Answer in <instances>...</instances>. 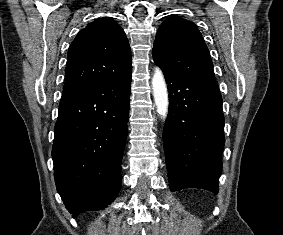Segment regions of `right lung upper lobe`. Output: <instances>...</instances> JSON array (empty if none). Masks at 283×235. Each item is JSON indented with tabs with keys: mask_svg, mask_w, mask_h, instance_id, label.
<instances>
[{
	"mask_svg": "<svg viewBox=\"0 0 283 235\" xmlns=\"http://www.w3.org/2000/svg\"><path fill=\"white\" fill-rule=\"evenodd\" d=\"M131 71V51L123 29L111 18H99L82 29L69 47L62 96Z\"/></svg>",
	"mask_w": 283,
	"mask_h": 235,
	"instance_id": "obj_1",
	"label": "right lung upper lobe"
}]
</instances>
